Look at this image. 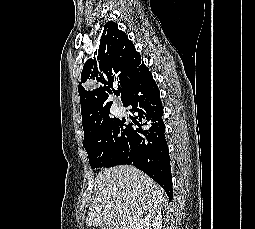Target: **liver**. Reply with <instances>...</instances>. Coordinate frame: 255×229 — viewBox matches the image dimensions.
Returning <instances> with one entry per match:
<instances>
[{"label": "liver", "mask_w": 255, "mask_h": 229, "mask_svg": "<svg viewBox=\"0 0 255 229\" xmlns=\"http://www.w3.org/2000/svg\"><path fill=\"white\" fill-rule=\"evenodd\" d=\"M94 188L87 226L135 229L146 212L160 210L166 199L164 190L132 165L104 169L96 176Z\"/></svg>", "instance_id": "liver-1"}]
</instances>
